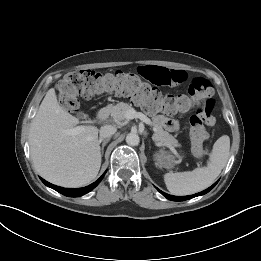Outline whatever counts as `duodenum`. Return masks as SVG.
I'll return each mask as SVG.
<instances>
[{"label": "duodenum", "mask_w": 261, "mask_h": 261, "mask_svg": "<svg viewBox=\"0 0 261 261\" xmlns=\"http://www.w3.org/2000/svg\"><path fill=\"white\" fill-rule=\"evenodd\" d=\"M109 115V110L107 108H102L98 111L97 117L99 120H105Z\"/></svg>", "instance_id": "obj_1"}]
</instances>
